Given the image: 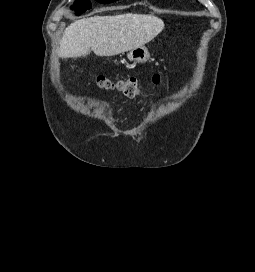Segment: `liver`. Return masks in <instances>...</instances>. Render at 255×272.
<instances>
[{
	"instance_id": "obj_1",
	"label": "liver",
	"mask_w": 255,
	"mask_h": 272,
	"mask_svg": "<svg viewBox=\"0 0 255 272\" xmlns=\"http://www.w3.org/2000/svg\"><path fill=\"white\" fill-rule=\"evenodd\" d=\"M164 28V22L146 14L94 16L71 23L60 42L59 56L77 58L92 50L97 56H113L144 46Z\"/></svg>"
}]
</instances>
